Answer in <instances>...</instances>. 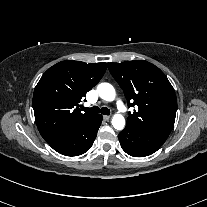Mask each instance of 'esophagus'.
Segmentation results:
<instances>
[{
	"instance_id": "1",
	"label": "esophagus",
	"mask_w": 207,
	"mask_h": 207,
	"mask_svg": "<svg viewBox=\"0 0 207 207\" xmlns=\"http://www.w3.org/2000/svg\"><path fill=\"white\" fill-rule=\"evenodd\" d=\"M103 119H104L105 121H108V120L110 119V116H108V115H103Z\"/></svg>"
}]
</instances>
